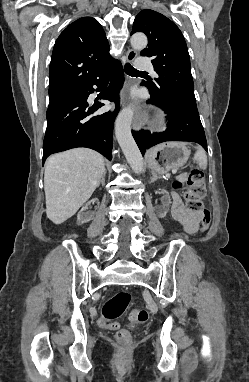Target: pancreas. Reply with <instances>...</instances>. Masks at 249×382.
Instances as JSON below:
<instances>
[{
  "mask_svg": "<svg viewBox=\"0 0 249 382\" xmlns=\"http://www.w3.org/2000/svg\"><path fill=\"white\" fill-rule=\"evenodd\" d=\"M177 180L180 181V182H184L186 180V174L178 176Z\"/></svg>",
  "mask_w": 249,
  "mask_h": 382,
  "instance_id": "cf45deb5",
  "label": "pancreas"
}]
</instances>
